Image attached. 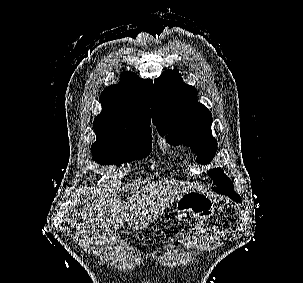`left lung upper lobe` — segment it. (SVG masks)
Instances as JSON below:
<instances>
[{"label": "left lung upper lobe", "instance_id": "obj_1", "mask_svg": "<svg viewBox=\"0 0 303 283\" xmlns=\"http://www.w3.org/2000/svg\"><path fill=\"white\" fill-rule=\"evenodd\" d=\"M152 121L170 144H183L197 154V161L209 164L215 156L212 114L197 101L195 87L185 84L177 70L164 71L155 80L152 97ZM219 194H236L233 183L221 168L208 171Z\"/></svg>", "mask_w": 303, "mask_h": 283}]
</instances>
